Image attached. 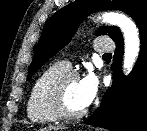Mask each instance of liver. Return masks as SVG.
Returning <instances> with one entry per match:
<instances>
[{
  "mask_svg": "<svg viewBox=\"0 0 147 131\" xmlns=\"http://www.w3.org/2000/svg\"><path fill=\"white\" fill-rule=\"evenodd\" d=\"M63 129L65 128L60 127V126H49V127L40 129V131H58V130H63Z\"/></svg>",
  "mask_w": 147,
  "mask_h": 131,
  "instance_id": "liver-1",
  "label": "liver"
}]
</instances>
